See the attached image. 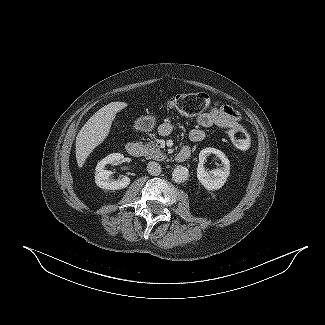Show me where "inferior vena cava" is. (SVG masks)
Here are the masks:
<instances>
[{
	"label": "inferior vena cava",
	"instance_id": "obj_1",
	"mask_svg": "<svg viewBox=\"0 0 325 325\" xmlns=\"http://www.w3.org/2000/svg\"><path fill=\"white\" fill-rule=\"evenodd\" d=\"M147 171L149 174L151 175H159L161 173V166L159 163L155 162V161H150L147 164Z\"/></svg>",
	"mask_w": 325,
	"mask_h": 325
}]
</instances>
